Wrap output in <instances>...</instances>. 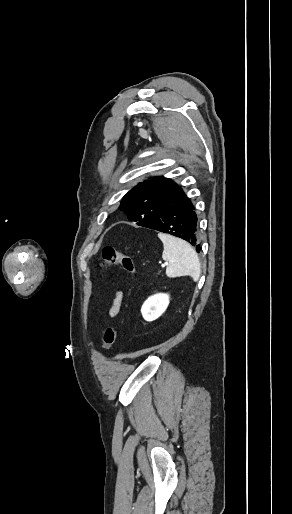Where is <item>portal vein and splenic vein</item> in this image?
Segmentation results:
<instances>
[{"instance_id": "1", "label": "portal vein and splenic vein", "mask_w": 292, "mask_h": 514, "mask_svg": "<svg viewBox=\"0 0 292 514\" xmlns=\"http://www.w3.org/2000/svg\"><path fill=\"white\" fill-rule=\"evenodd\" d=\"M164 266H168V262H165V264H162V268H164Z\"/></svg>"}]
</instances>
